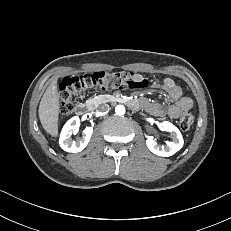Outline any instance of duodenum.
<instances>
[{"label": "duodenum", "mask_w": 231, "mask_h": 231, "mask_svg": "<svg viewBox=\"0 0 231 231\" xmlns=\"http://www.w3.org/2000/svg\"><path fill=\"white\" fill-rule=\"evenodd\" d=\"M122 100V99H119ZM131 107H136V104L133 100H127L126 101ZM92 110V106L89 104H80L76 107L75 109V113L78 116H84L86 114H88L89 112H91Z\"/></svg>", "instance_id": "obj_1"}]
</instances>
